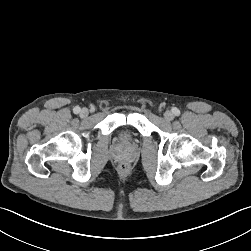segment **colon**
I'll return each mask as SVG.
<instances>
[{"instance_id": "obj_1", "label": "colon", "mask_w": 251, "mask_h": 251, "mask_svg": "<svg viewBox=\"0 0 251 251\" xmlns=\"http://www.w3.org/2000/svg\"><path fill=\"white\" fill-rule=\"evenodd\" d=\"M120 169L122 171H125L127 169V165L126 164H121Z\"/></svg>"}]
</instances>
